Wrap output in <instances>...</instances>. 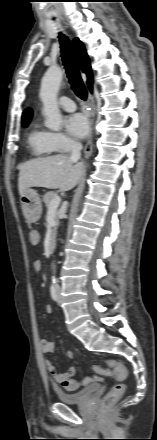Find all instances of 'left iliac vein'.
<instances>
[{
  "instance_id": "4c4485c4",
  "label": "left iliac vein",
  "mask_w": 157,
  "mask_h": 440,
  "mask_svg": "<svg viewBox=\"0 0 157 440\" xmlns=\"http://www.w3.org/2000/svg\"><path fill=\"white\" fill-rule=\"evenodd\" d=\"M57 295H58V304H60L61 299H60V287H57Z\"/></svg>"
}]
</instances>
